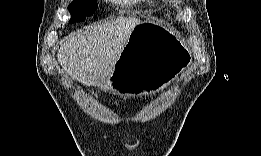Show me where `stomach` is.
<instances>
[{
    "label": "stomach",
    "instance_id": "stomach-1",
    "mask_svg": "<svg viewBox=\"0 0 261 156\" xmlns=\"http://www.w3.org/2000/svg\"><path fill=\"white\" fill-rule=\"evenodd\" d=\"M152 44L155 50L142 59ZM189 59L171 30L144 21L131 32L114 73L101 87L125 98L155 93L169 85Z\"/></svg>",
    "mask_w": 261,
    "mask_h": 156
}]
</instances>
